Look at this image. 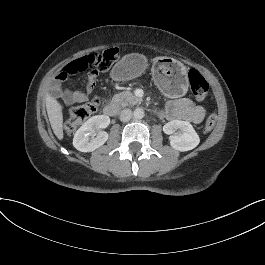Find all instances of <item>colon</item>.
Segmentation results:
<instances>
[{
	"label": "colon",
	"mask_w": 265,
	"mask_h": 265,
	"mask_svg": "<svg viewBox=\"0 0 265 265\" xmlns=\"http://www.w3.org/2000/svg\"><path fill=\"white\" fill-rule=\"evenodd\" d=\"M117 56V50L108 49L102 53H91L79 59H76L65 67H63L57 74L59 80H65L68 76L78 72L93 69L94 71H107L114 64ZM190 89L192 95L198 99L203 100L209 93V84L207 80L195 69L188 73ZM99 106V100L93 98L92 100L77 105L69 111V115L64 123V128L67 133H73L79 126H81L90 116H92ZM217 121L216 113H212L206 120L204 132H211Z\"/></svg>",
	"instance_id": "colon-1"
}]
</instances>
